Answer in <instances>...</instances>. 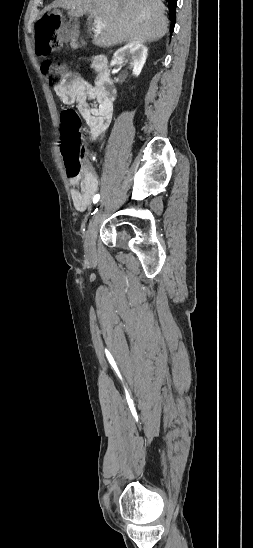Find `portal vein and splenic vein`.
<instances>
[{
    "label": "portal vein and splenic vein",
    "instance_id": "portal-vein-and-splenic-vein-1",
    "mask_svg": "<svg viewBox=\"0 0 253 548\" xmlns=\"http://www.w3.org/2000/svg\"><path fill=\"white\" fill-rule=\"evenodd\" d=\"M104 27V24L102 22V17L100 16H95V19H94V28H95V31L97 33H100L102 28Z\"/></svg>",
    "mask_w": 253,
    "mask_h": 548
}]
</instances>
